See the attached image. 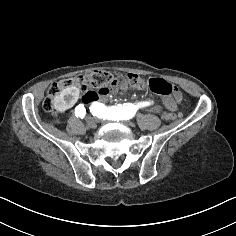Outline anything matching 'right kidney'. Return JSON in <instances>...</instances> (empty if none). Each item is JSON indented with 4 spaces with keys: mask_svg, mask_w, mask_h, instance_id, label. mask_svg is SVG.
I'll return each instance as SVG.
<instances>
[{
    "mask_svg": "<svg viewBox=\"0 0 236 236\" xmlns=\"http://www.w3.org/2000/svg\"><path fill=\"white\" fill-rule=\"evenodd\" d=\"M79 97V89L76 87H67L61 94L52 99V113L50 121L53 125H61L63 123L64 113L77 101Z\"/></svg>",
    "mask_w": 236,
    "mask_h": 236,
    "instance_id": "obj_1",
    "label": "right kidney"
}]
</instances>
